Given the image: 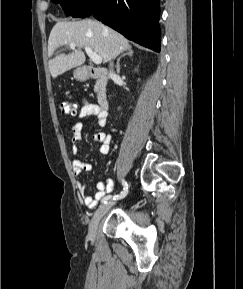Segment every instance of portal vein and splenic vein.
Segmentation results:
<instances>
[{
  "mask_svg": "<svg viewBox=\"0 0 243 289\" xmlns=\"http://www.w3.org/2000/svg\"><path fill=\"white\" fill-rule=\"evenodd\" d=\"M70 48L74 49L76 44L75 43H70ZM85 52L86 54L90 57V59L93 61V63L99 65L102 63V57L95 53L90 47H85Z\"/></svg>",
  "mask_w": 243,
  "mask_h": 289,
  "instance_id": "obj_1",
  "label": "portal vein and splenic vein"
}]
</instances>
